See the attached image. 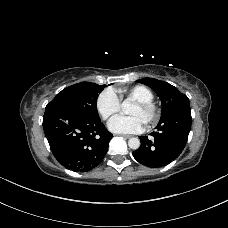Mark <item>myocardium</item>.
Masks as SVG:
<instances>
[{"mask_svg": "<svg viewBox=\"0 0 228 228\" xmlns=\"http://www.w3.org/2000/svg\"><path fill=\"white\" fill-rule=\"evenodd\" d=\"M134 104L148 112L149 119L146 122L148 126L155 125L158 122L160 118V108L154 101H135Z\"/></svg>", "mask_w": 228, "mask_h": 228, "instance_id": "myocardium-1", "label": "myocardium"}]
</instances>
